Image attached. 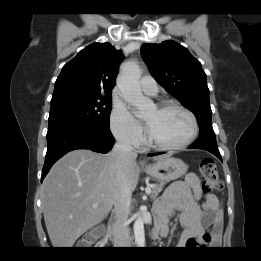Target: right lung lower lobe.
Listing matches in <instances>:
<instances>
[{"mask_svg": "<svg viewBox=\"0 0 261 261\" xmlns=\"http://www.w3.org/2000/svg\"><path fill=\"white\" fill-rule=\"evenodd\" d=\"M115 140L109 128L90 123H64L48 128L47 153L41 181L52 165L67 152L75 149H90L107 153Z\"/></svg>", "mask_w": 261, "mask_h": 261, "instance_id": "obj_1", "label": "right lung lower lobe"}]
</instances>
